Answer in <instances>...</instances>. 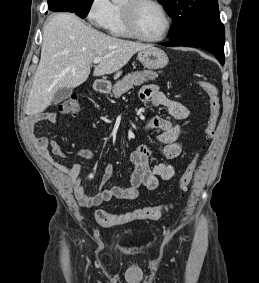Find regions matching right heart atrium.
Here are the masks:
<instances>
[{"mask_svg":"<svg viewBox=\"0 0 259 283\" xmlns=\"http://www.w3.org/2000/svg\"><path fill=\"white\" fill-rule=\"evenodd\" d=\"M112 2L110 0H91L87 19L96 28H103L110 17Z\"/></svg>","mask_w":259,"mask_h":283,"instance_id":"1","label":"right heart atrium"}]
</instances>
